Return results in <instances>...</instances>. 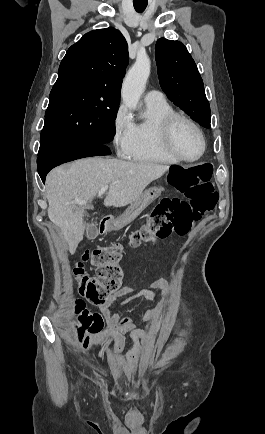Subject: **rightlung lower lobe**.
<instances>
[{"mask_svg": "<svg viewBox=\"0 0 265 434\" xmlns=\"http://www.w3.org/2000/svg\"><path fill=\"white\" fill-rule=\"evenodd\" d=\"M111 154L109 148L101 143H73L60 139L42 140L38 152V173L45 183L47 173L54 167L76 159Z\"/></svg>", "mask_w": 265, "mask_h": 434, "instance_id": "right-lung-lower-lobe-1", "label": "right lung lower lobe"}]
</instances>
